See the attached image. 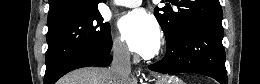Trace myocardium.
I'll return each instance as SVG.
<instances>
[{"mask_svg":"<svg viewBox=\"0 0 260 84\" xmlns=\"http://www.w3.org/2000/svg\"><path fill=\"white\" fill-rule=\"evenodd\" d=\"M159 56V54H157L156 56H155V58H157Z\"/></svg>","mask_w":260,"mask_h":84,"instance_id":"f54148a6","label":"myocardium"}]
</instances>
